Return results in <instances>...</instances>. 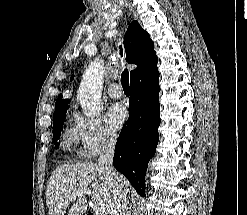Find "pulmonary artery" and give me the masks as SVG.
Wrapping results in <instances>:
<instances>
[{"instance_id":"1","label":"pulmonary artery","mask_w":247,"mask_h":215,"mask_svg":"<svg viewBox=\"0 0 247 215\" xmlns=\"http://www.w3.org/2000/svg\"><path fill=\"white\" fill-rule=\"evenodd\" d=\"M108 94L112 98H121L123 96V90L118 84H111L108 88Z\"/></svg>"}]
</instances>
